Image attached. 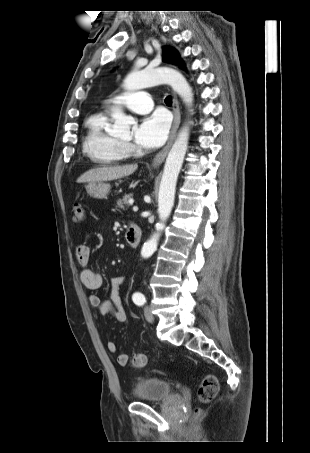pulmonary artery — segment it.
<instances>
[{
	"mask_svg": "<svg viewBox=\"0 0 310 453\" xmlns=\"http://www.w3.org/2000/svg\"><path fill=\"white\" fill-rule=\"evenodd\" d=\"M121 104L138 114H145L152 110L153 102L150 95L146 92H133L119 94L108 100L107 105Z\"/></svg>",
	"mask_w": 310,
	"mask_h": 453,
	"instance_id": "e3ab8cb5",
	"label": "pulmonary artery"
}]
</instances>
